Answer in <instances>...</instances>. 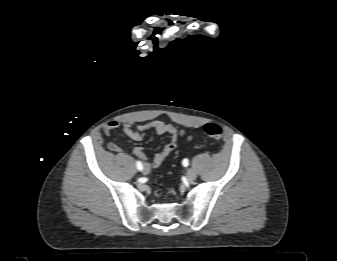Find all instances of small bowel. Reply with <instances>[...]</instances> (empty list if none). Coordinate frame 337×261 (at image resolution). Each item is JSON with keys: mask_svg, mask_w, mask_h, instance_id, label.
I'll list each match as a JSON object with an SVG mask.
<instances>
[{"mask_svg": "<svg viewBox=\"0 0 337 261\" xmlns=\"http://www.w3.org/2000/svg\"><path fill=\"white\" fill-rule=\"evenodd\" d=\"M121 127L123 133L135 141H141L146 131L153 129L156 131L157 134L163 135L168 134L169 135V142L154 156V158L150 162H145V165L149 168L151 167H159L164 160L173 152L176 150L178 141L181 138H186L188 140H192V136L187 134L184 130L178 129L172 124L165 123L161 120H154L151 121L145 125H139L135 129H133V126L129 123H123L121 124L118 121H109L107 122L104 127L103 131L106 135H110L111 132L117 128ZM109 149L114 152H122L123 148L116 142H110L108 144ZM133 153L138 158L146 161L147 160V154L145 150L141 147H136L133 149Z\"/></svg>", "mask_w": 337, "mask_h": 261, "instance_id": "small-bowel-1", "label": "small bowel"}]
</instances>
